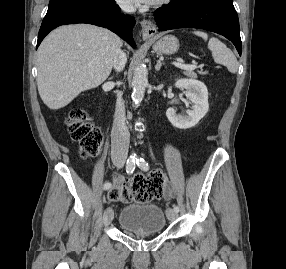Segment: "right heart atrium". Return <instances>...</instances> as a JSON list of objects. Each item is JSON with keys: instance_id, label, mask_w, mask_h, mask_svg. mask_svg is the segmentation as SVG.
<instances>
[{"instance_id": "right-heart-atrium-1", "label": "right heart atrium", "mask_w": 286, "mask_h": 269, "mask_svg": "<svg viewBox=\"0 0 286 269\" xmlns=\"http://www.w3.org/2000/svg\"><path fill=\"white\" fill-rule=\"evenodd\" d=\"M116 2L122 10L126 12H130L132 10V7L125 0H116Z\"/></svg>"}]
</instances>
